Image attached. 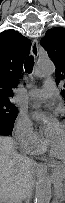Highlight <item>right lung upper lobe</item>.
I'll return each mask as SVG.
<instances>
[{
    "mask_svg": "<svg viewBox=\"0 0 65 203\" xmlns=\"http://www.w3.org/2000/svg\"><path fill=\"white\" fill-rule=\"evenodd\" d=\"M31 41L15 30L0 33V100H9L18 84Z\"/></svg>",
    "mask_w": 65,
    "mask_h": 203,
    "instance_id": "cb5924a9",
    "label": "right lung upper lobe"
}]
</instances>
